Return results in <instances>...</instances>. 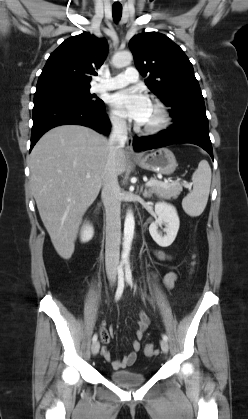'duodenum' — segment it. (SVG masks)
Masks as SVG:
<instances>
[{"label":"duodenum","mask_w":248,"mask_h":419,"mask_svg":"<svg viewBox=\"0 0 248 419\" xmlns=\"http://www.w3.org/2000/svg\"><path fill=\"white\" fill-rule=\"evenodd\" d=\"M98 210H99V205L97 206V212H98Z\"/></svg>","instance_id":"duodenum-1"}]
</instances>
